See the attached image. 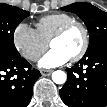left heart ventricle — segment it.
I'll use <instances>...</instances> for the list:
<instances>
[{
	"label": "left heart ventricle",
	"instance_id": "obj_1",
	"mask_svg": "<svg viewBox=\"0 0 107 107\" xmlns=\"http://www.w3.org/2000/svg\"><path fill=\"white\" fill-rule=\"evenodd\" d=\"M84 34L80 27H72L63 37L51 43V48L59 49L69 58L74 56L82 47Z\"/></svg>",
	"mask_w": 107,
	"mask_h": 107
}]
</instances>
